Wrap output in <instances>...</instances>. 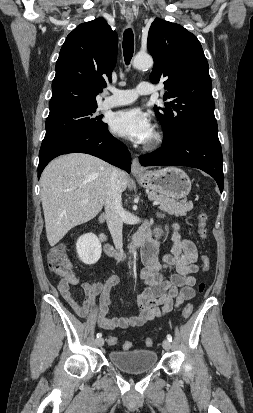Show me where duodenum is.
I'll use <instances>...</instances> for the list:
<instances>
[{
  "label": "duodenum",
  "mask_w": 253,
  "mask_h": 413,
  "mask_svg": "<svg viewBox=\"0 0 253 413\" xmlns=\"http://www.w3.org/2000/svg\"><path fill=\"white\" fill-rule=\"evenodd\" d=\"M105 219V216L102 215L99 218L100 222H103ZM99 239L104 242V249L105 252L112 257L118 258V259H126L128 257H132L136 254L137 249L139 247L144 246L146 243H148L151 240L152 237V232L147 223H144L140 229L137 231V233L134 235L132 239V243L130 246V252L128 254H125L123 252H120L114 248L113 245L108 243L106 241V237L102 233H98Z\"/></svg>",
  "instance_id": "1"
}]
</instances>
